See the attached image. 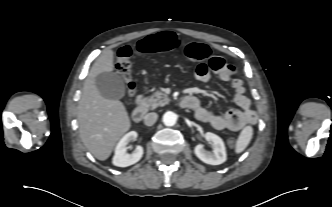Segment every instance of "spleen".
<instances>
[{
  "label": "spleen",
  "mask_w": 332,
  "mask_h": 207,
  "mask_svg": "<svg viewBox=\"0 0 332 207\" xmlns=\"http://www.w3.org/2000/svg\"><path fill=\"white\" fill-rule=\"evenodd\" d=\"M253 136V128L251 126H246L240 133L235 147V152L237 154L243 152L245 148L249 145Z\"/></svg>",
  "instance_id": "3e777b00"
}]
</instances>
